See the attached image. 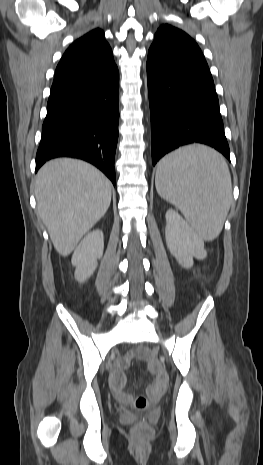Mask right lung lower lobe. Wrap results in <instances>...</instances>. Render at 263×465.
<instances>
[{
  "label": "right lung lower lobe",
  "mask_w": 263,
  "mask_h": 465,
  "mask_svg": "<svg viewBox=\"0 0 263 465\" xmlns=\"http://www.w3.org/2000/svg\"><path fill=\"white\" fill-rule=\"evenodd\" d=\"M119 72L53 85L36 155V172L49 159L73 157L102 170L115 185Z\"/></svg>",
  "instance_id": "right-lung-lower-lobe-1"
}]
</instances>
